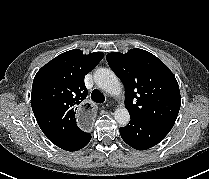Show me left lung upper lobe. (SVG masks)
Here are the masks:
<instances>
[{"instance_id": "1", "label": "left lung upper lobe", "mask_w": 209, "mask_h": 179, "mask_svg": "<svg viewBox=\"0 0 209 179\" xmlns=\"http://www.w3.org/2000/svg\"><path fill=\"white\" fill-rule=\"evenodd\" d=\"M106 59L125 86V106L130 115L172 128L181 97L170 69L142 49H131L126 54L112 52Z\"/></svg>"}]
</instances>
